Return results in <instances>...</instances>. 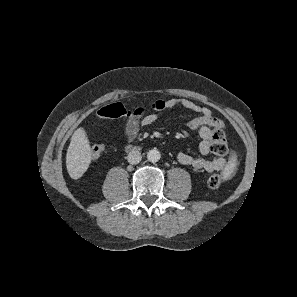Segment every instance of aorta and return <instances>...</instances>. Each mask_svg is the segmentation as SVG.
Listing matches in <instances>:
<instances>
[{
	"label": "aorta",
	"mask_w": 297,
	"mask_h": 297,
	"mask_svg": "<svg viewBox=\"0 0 297 297\" xmlns=\"http://www.w3.org/2000/svg\"><path fill=\"white\" fill-rule=\"evenodd\" d=\"M160 158H161V154L156 148L151 149L147 152V159L152 163L159 161Z\"/></svg>",
	"instance_id": "762f6f07"
}]
</instances>
